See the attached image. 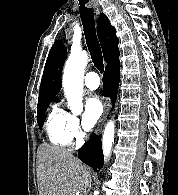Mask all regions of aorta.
Listing matches in <instances>:
<instances>
[{"mask_svg":"<svg viewBox=\"0 0 178 195\" xmlns=\"http://www.w3.org/2000/svg\"><path fill=\"white\" fill-rule=\"evenodd\" d=\"M88 55L86 52H73L66 61L63 73V88L67 98L68 106L74 114H79L83 110L82 93L83 77ZM115 124L110 120L107 122L103 137L102 146L105 158L110 156L114 143Z\"/></svg>","mask_w":178,"mask_h":195,"instance_id":"aorta-1","label":"aorta"}]
</instances>
